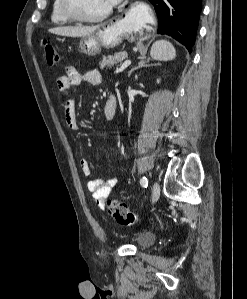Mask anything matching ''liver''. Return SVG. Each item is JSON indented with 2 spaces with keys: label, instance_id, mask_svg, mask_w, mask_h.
<instances>
[{
  "label": "liver",
  "instance_id": "6515ba94",
  "mask_svg": "<svg viewBox=\"0 0 247 299\" xmlns=\"http://www.w3.org/2000/svg\"><path fill=\"white\" fill-rule=\"evenodd\" d=\"M99 28V25L95 26H75V27H55L48 31L50 33L67 36V37H84L90 35Z\"/></svg>",
  "mask_w": 247,
  "mask_h": 299
}]
</instances>
